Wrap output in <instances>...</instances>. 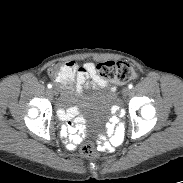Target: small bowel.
<instances>
[{"instance_id": "1", "label": "small bowel", "mask_w": 183, "mask_h": 183, "mask_svg": "<svg viewBox=\"0 0 183 183\" xmlns=\"http://www.w3.org/2000/svg\"><path fill=\"white\" fill-rule=\"evenodd\" d=\"M59 73L66 77L67 79L61 83V95L67 96L71 93V83L75 81L76 90L80 91L82 88H86L89 85L92 86H107L105 80H103L96 71L95 65L90 62H86L83 65H78L75 61H68L60 66ZM78 114L76 108L59 109L58 116L61 120L67 121L66 125L59 127L58 132L62 136H67L69 138V143L67 148L69 151L74 152L77 150L78 145L82 141V129L80 121L76 120V125H73L70 121L74 119ZM109 114L113 117L107 126L106 136L110 138L109 142H103L102 147L108 155L115 153L116 149L120 146V141L123 135V130L118 124L119 117L124 119L128 115L126 108H116L110 109Z\"/></svg>"}]
</instances>
